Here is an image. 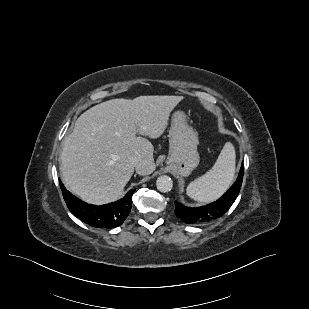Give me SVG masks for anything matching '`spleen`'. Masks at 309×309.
<instances>
[{
	"label": "spleen",
	"mask_w": 309,
	"mask_h": 309,
	"mask_svg": "<svg viewBox=\"0 0 309 309\" xmlns=\"http://www.w3.org/2000/svg\"><path fill=\"white\" fill-rule=\"evenodd\" d=\"M235 158L234 146L227 142L213 167L188 185L187 195L201 203L218 199L233 181Z\"/></svg>",
	"instance_id": "obj_1"
}]
</instances>
